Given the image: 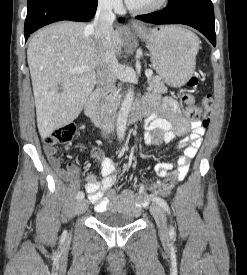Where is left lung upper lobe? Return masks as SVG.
Segmentation results:
<instances>
[{"label": "left lung upper lobe", "instance_id": "5c2ea615", "mask_svg": "<svg viewBox=\"0 0 247 275\" xmlns=\"http://www.w3.org/2000/svg\"><path fill=\"white\" fill-rule=\"evenodd\" d=\"M176 1H178V0H168V3L170 4V3H173V2H176Z\"/></svg>", "mask_w": 247, "mask_h": 275}]
</instances>
